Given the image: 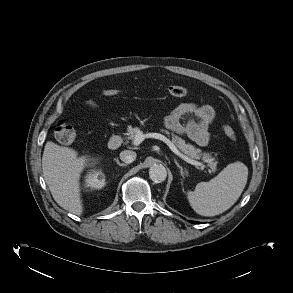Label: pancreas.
I'll return each instance as SVG.
<instances>
[{
  "mask_svg": "<svg viewBox=\"0 0 293 293\" xmlns=\"http://www.w3.org/2000/svg\"><path fill=\"white\" fill-rule=\"evenodd\" d=\"M140 131V128L138 127H132L128 126L127 128V138L129 140H134L136 137L137 132ZM161 132L167 134L168 136H172V142L182 151L185 155L192 159H200L202 158L204 161L208 162L209 166L212 168V170L216 169V162H214V159L211 157L209 153H202L200 149L195 148V146L186 143L185 140H183L181 137L175 135L174 133H170L167 130L161 129Z\"/></svg>",
  "mask_w": 293,
  "mask_h": 293,
  "instance_id": "obj_1",
  "label": "pancreas"
}]
</instances>
